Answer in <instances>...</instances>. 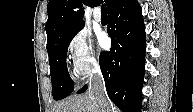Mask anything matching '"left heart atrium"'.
<instances>
[{"label":"left heart atrium","mask_w":193,"mask_h":112,"mask_svg":"<svg viewBox=\"0 0 193 112\" xmlns=\"http://www.w3.org/2000/svg\"><path fill=\"white\" fill-rule=\"evenodd\" d=\"M99 45L101 47H106L108 45V38L105 34L99 36Z\"/></svg>","instance_id":"39dd6f15"}]
</instances>
